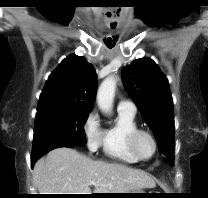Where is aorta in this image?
Segmentation results:
<instances>
[{
	"instance_id": "aorta-1",
	"label": "aorta",
	"mask_w": 208,
	"mask_h": 198,
	"mask_svg": "<svg viewBox=\"0 0 208 198\" xmlns=\"http://www.w3.org/2000/svg\"><path fill=\"white\" fill-rule=\"evenodd\" d=\"M116 90V79L109 76L101 83L97 91V104L104 113H110Z\"/></svg>"
}]
</instances>
